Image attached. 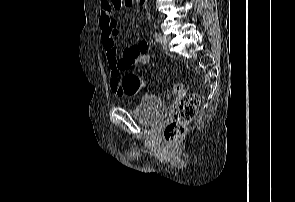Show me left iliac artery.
I'll return each instance as SVG.
<instances>
[{
  "mask_svg": "<svg viewBox=\"0 0 295 202\" xmlns=\"http://www.w3.org/2000/svg\"><path fill=\"white\" fill-rule=\"evenodd\" d=\"M154 38L156 41H161V39H162L161 34H159L157 32L154 33Z\"/></svg>",
  "mask_w": 295,
  "mask_h": 202,
  "instance_id": "left-iliac-artery-1",
  "label": "left iliac artery"
}]
</instances>
